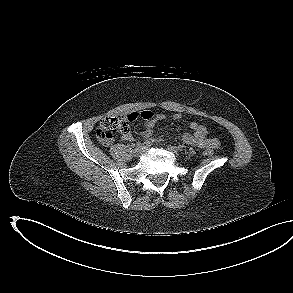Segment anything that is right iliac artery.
I'll list each match as a JSON object with an SVG mask.
<instances>
[{
  "label": "right iliac artery",
  "instance_id": "82829eb1",
  "mask_svg": "<svg viewBox=\"0 0 293 293\" xmlns=\"http://www.w3.org/2000/svg\"><path fill=\"white\" fill-rule=\"evenodd\" d=\"M152 143H153V140H152V139H149V140H146V141L143 143V145H144L145 147H149V146L152 145Z\"/></svg>",
  "mask_w": 293,
  "mask_h": 293
}]
</instances>
